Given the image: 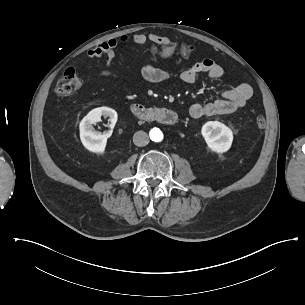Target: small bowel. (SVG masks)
Returning a JSON list of instances; mask_svg holds the SVG:
<instances>
[{"label": "small bowel", "mask_w": 305, "mask_h": 305, "mask_svg": "<svg viewBox=\"0 0 305 305\" xmlns=\"http://www.w3.org/2000/svg\"><path fill=\"white\" fill-rule=\"evenodd\" d=\"M117 42L113 38H108L104 43H98L92 47L91 51L87 50L84 53L85 58H92L93 54L96 56L105 57V62H110L111 57H114ZM177 52L175 47L172 53L165 57L168 58ZM104 68H109V63H104ZM207 73L212 80H218L224 75L223 67L211 58H205L198 61L181 72V79L187 84H192L196 81L197 77ZM143 78L150 83H162L169 79V73L153 64H146L141 70ZM253 89L248 83H240L232 89L223 92V98L208 103H195L189 108V114L193 118H201L204 116H211L216 114L230 113L235 110L241 109L245 106L247 101L252 97Z\"/></svg>", "instance_id": "small-bowel-1"}]
</instances>
